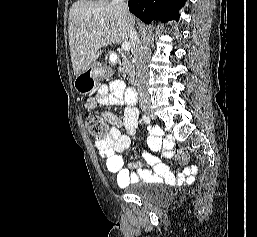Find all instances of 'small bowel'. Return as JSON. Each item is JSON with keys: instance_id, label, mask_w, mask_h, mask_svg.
Here are the masks:
<instances>
[{"instance_id": "obj_1", "label": "small bowel", "mask_w": 257, "mask_h": 237, "mask_svg": "<svg viewBox=\"0 0 257 237\" xmlns=\"http://www.w3.org/2000/svg\"><path fill=\"white\" fill-rule=\"evenodd\" d=\"M124 104H126L125 84L119 79H114L109 84L100 86L96 94L86 101V106L89 109L99 112L111 125L108 136L103 140L96 141L95 146L100 157L105 160L107 170L116 176L118 186L125 187L130 183L139 181L148 183L165 182L174 185L185 180H192L197 172V167L191 166L183 172L175 174L160 161L156 150L163 143V139L162 133L158 129L151 130L148 137L149 149L142 152L143 157L153 167V170L144 169L139 162L130 165L129 168L123 167L121 154L130 146L129 135L135 133L139 117L138 109L135 106L127 105L122 117H119L108 109H98V106H120ZM122 129L128 135L123 134ZM164 152L168 156L171 155L169 142L166 143Z\"/></svg>"}]
</instances>
